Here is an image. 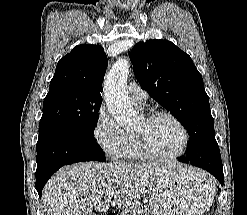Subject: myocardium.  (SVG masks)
I'll list each match as a JSON object with an SVG mask.
<instances>
[{
    "mask_svg": "<svg viewBox=\"0 0 247 215\" xmlns=\"http://www.w3.org/2000/svg\"><path fill=\"white\" fill-rule=\"evenodd\" d=\"M160 118H168L172 120L175 124H177V126L180 128L183 134V144H182L181 149L177 153L171 154V155L158 154L151 149L143 133L133 132V135L136 139L137 146L141 154L143 155V157L149 160L168 161V160H174V159L180 158L186 152L189 146L190 135H189L188 129L186 128L185 124L177 116L167 111L152 112L144 118V121L146 123H151Z\"/></svg>",
    "mask_w": 247,
    "mask_h": 215,
    "instance_id": "obj_1",
    "label": "myocardium"
}]
</instances>
